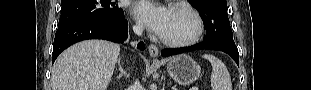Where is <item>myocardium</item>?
<instances>
[{"mask_svg":"<svg viewBox=\"0 0 311 90\" xmlns=\"http://www.w3.org/2000/svg\"><path fill=\"white\" fill-rule=\"evenodd\" d=\"M174 9L179 10L188 15L194 22V31L191 36L183 39H172L160 36V41L171 47H186L195 44L202 36L204 30L203 20L200 15L190 6L186 4H178Z\"/></svg>","mask_w":311,"mask_h":90,"instance_id":"obj_1","label":"myocardium"}]
</instances>
